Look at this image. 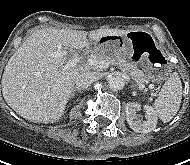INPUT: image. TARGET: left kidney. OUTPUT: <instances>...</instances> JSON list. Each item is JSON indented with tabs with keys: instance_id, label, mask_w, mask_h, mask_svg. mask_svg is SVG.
<instances>
[{
	"instance_id": "1",
	"label": "left kidney",
	"mask_w": 190,
	"mask_h": 165,
	"mask_svg": "<svg viewBox=\"0 0 190 165\" xmlns=\"http://www.w3.org/2000/svg\"><path fill=\"white\" fill-rule=\"evenodd\" d=\"M141 109L137 103H127L126 105V119L130 128L137 133H149L156 128L157 113L151 106H144V113L146 121H142L136 115V112Z\"/></svg>"
}]
</instances>
